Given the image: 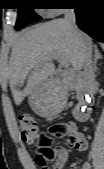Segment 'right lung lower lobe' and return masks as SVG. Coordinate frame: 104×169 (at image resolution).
<instances>
[{
	"mask_svg": "<svg viewBox=\"0 0 104 169\" xmlns=\"http://www.w3.org/2000/svg\"><path fill=\"white\" fill-rule=\"evenodd\" d=\"M79 28L97 41L104 42V0H74Z\"/></svg>",
	"mask_w": 104,
	"mask_h": 169,
	"instance_id": "right-lung-lower-lobe-1",
	"label": "right lung lower lobe"
}]
</instances>
